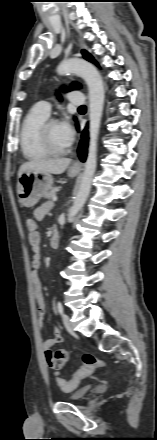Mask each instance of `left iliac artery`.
I'll return each mask as SVG.
<instances>
[{
  "mask_svg": "<svg viewBox=\"0 0 157 440\" xmlns=\"http://www.w3.org/2000/svg\"><path fill=\"white\" fill-rule=\"evenodd\" d=\"M57 309L60 314H63L64 309H63V305L60 301L57 303Z\"/></svg>",
  "mask_w": 157,
  "mask_h": 440,
  "instance_id": "obj_1",
  "label": "left iliac artery"
}]
</instances>
